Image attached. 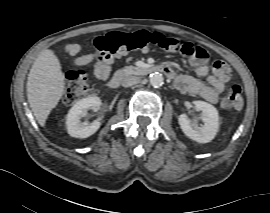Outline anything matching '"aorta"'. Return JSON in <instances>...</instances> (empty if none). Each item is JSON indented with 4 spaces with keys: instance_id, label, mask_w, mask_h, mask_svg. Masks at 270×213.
I'll use <instances>...</instances> for the list:
<instances>
[{
    "instance_id": "obj_1",
    "label": "aorta",
    "mask_w": 270,
    "mask_h": 213,
    "mask_svg": "<svg viewBox=\"0 0 270 213\" xmlns=\"http://www.w3.org/2000/svg\"><path fill=\"white\" fill-rule=\"evenodd\" d=\"M149 80L150 84L155 88L161 87L164 83L163 75L159 72L152 73Z\"/></svg>"
}]
</instances>
